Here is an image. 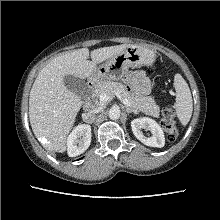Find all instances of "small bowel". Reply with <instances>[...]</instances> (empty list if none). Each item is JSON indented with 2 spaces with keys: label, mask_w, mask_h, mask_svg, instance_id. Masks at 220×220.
I'll return each mask as SVG.
<instances>
[{
  "label": "small bowel",
  "mask_w": 220,
  "mask_h": 220,
  "mask_svg": "<svg viewBox=\"0 0 220 220\" xmlns=\"http://www.w3.org/2000/svg\"><path fill=\"white\" fill-rule=\"evenodd\" d=\"M129 84L140 94L145 95L149 92L150 83L141 72H135L128 77Z\"/></svg>",
  "instance_id": "obj_1"
}]
</instances>
